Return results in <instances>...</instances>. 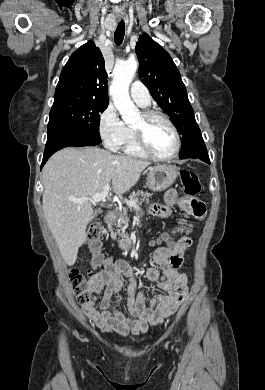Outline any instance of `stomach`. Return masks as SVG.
<instances>
[{
	"label": "stomach",
	"mask_w": 265,
	"mask_h": 390,
	"mask_svg": "<svg viewBox=\"0 0 265 390\" xmlns=\"http://www.w3.org/2000/svg\"><path fill=\"white\" fill-rule=\"evenodd\" d=\"M179 174V168L173 165H159L151 168L147 175V186L152 191H162L170 187Z\"/></svg>",
	"instance_id": "stomach-1"
}]
</instances>
